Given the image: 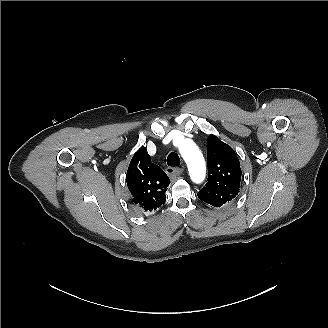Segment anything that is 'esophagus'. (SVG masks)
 <instances>
[{"mask_svg":"<svg viewBox=\"0 0 328 328\" xmlns=\"http://www.w3.org/2000/svg\"><path fill=\"white\" fill-rule=\"evenodd\" d=\"M165 171H166L167 175L171 178L179 176L182 173V170L180 168H174V167H168V168H166Z\"/></svg>","mask_w":328,"mask_h":328,"instance_id":"34e87169","label":"esophagus"}]
</instances>
